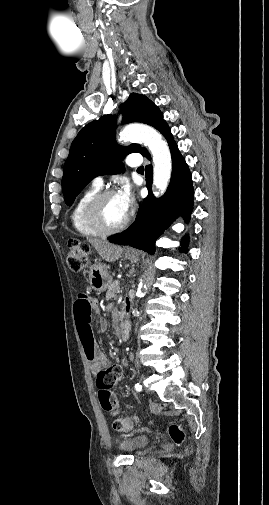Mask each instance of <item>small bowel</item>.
I'll return each mask as SVG.
<instances>
[{
	"label": "small bowel",
	"mask_w": 269,
	"mask_h": 505,
	"mask_svg": "<svg viewBox=\"0 0 269 505\" xmlns=\"http://www.w3.org/2000/svg\"><path fill=\"white\" fill-rule=\"evenodd\" d=\"M75 303V320L77 331L86 355L87 360L91 363L92 371L96 376L98 372L104 368L114 367L119 372V378L123 371V364L118 363L109 365L108 359L100 351L93 337L91 326V317L96 314L99 306L97 298L90 295L88 289L78 288L74 298ZM98 329L101 332L107 330V322L104 319L98 321Z\"/></svg>",
	"instance_id": "obj_1"
}]
</instances>
